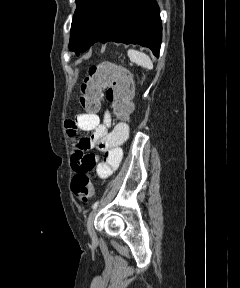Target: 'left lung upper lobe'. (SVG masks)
<instances>
[{
	"mask_svg": "<svg viewBox=\"0 0 240 288\" xmlns=\"http://www.w3.org/2000/svg\"><path fill=\"white\" fill-rule=\"evenodd\" d=\"M109 0H76L69 49L75 53L82 48L101 19Z\"/></svg>",
	"mask_w": 240,
	"mask_h": 288,
	"instance_id": "obj_1",
	"label": "left lung upper lobe"
}]
</instances>
